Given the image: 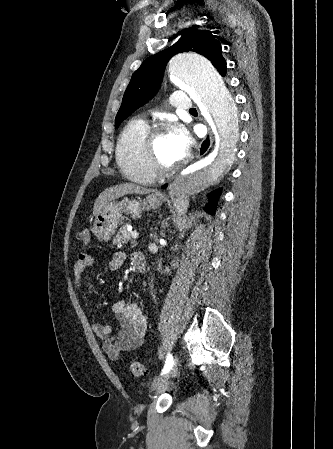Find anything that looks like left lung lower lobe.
Masks as SVG:
<instances>
[{"mask_svg":"<svg viewBox=\"0 0 333 449\" xmlns=\"http://www.w3.org/2000/svg\"><path fill=\"white\" fill-rule=\"evenodd\" d=\"M222 76H225V75H222ZM220 193H221V189H217V190L211 192V193L208 195V197L210 198V206H207V207L205 208V210H206L208 213L214 214L215 207H216V204H217V201H218V198H219Z\"/></svg>","mask_w":333,"mask_h":449,"instance_id":"left-lung-lower-lobe-1","label":"left lung lower lobe"}]
</instances>
